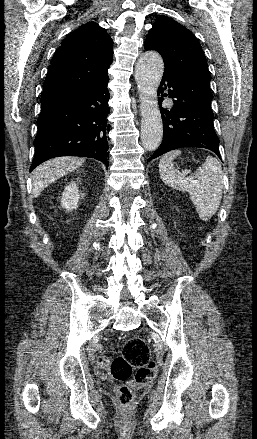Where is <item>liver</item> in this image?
<instances>
[{"mask_svg": "<svg viewBox=\"0 0 257 439\" xmlns=\"http://www.w3.org/2000/svg\"><path fill=\"white\" fill-rule=\"evenodd\" d=\"M83 162L76 157H57L39 165L32 176L33 197H38L52 182L79 168Z\"/></svg>", "mask_w": 257, "mask_h": 439, "instance_id": "liver-1", "label": "liver"}]
</instances>
